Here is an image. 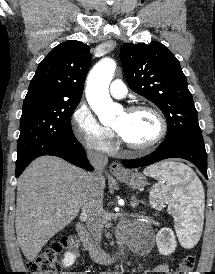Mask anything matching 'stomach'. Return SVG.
<instances>
[{
  "mask_svg": "<svg viewBox=\"0 0 215 274\" xmlns=\"http://www.w3.org/2000/svg\"><path fill=\"white\" fill-rule=\"evenodd\" d=\"M132 189H142L147 185L146 177L140 172H129L123 176H116Z\"/></svg>",
  "mask_w": 215,
  "mask_h": 274,
  "instance_id": "0dacf381",
  "label": "stomach"
}]
</instances>
